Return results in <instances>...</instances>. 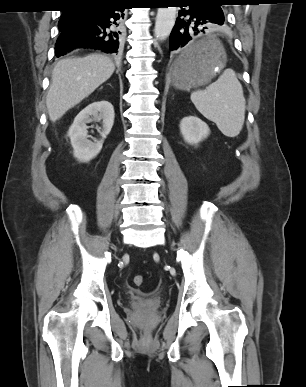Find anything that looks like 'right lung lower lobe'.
Returning <instances> with one entry per match:
<instances>
[{"mask_svg":"<svg viewBox=\"0 0 306 387\" xmlns=\"http://www.w3.org/2000/svg\"><path fill=\"white\" fill-rule=\"evenodd\" d=\"M126 3L119 0L103 5L76 8L80 20L73 26L60 29L56 42V56L75 47L94 48L106 53H118L122 46V19Z\"/></svg>","mask_w":306,"mask_h":387,"instance_id":"1","label":"right lung lower lobe"}]
</instances>
